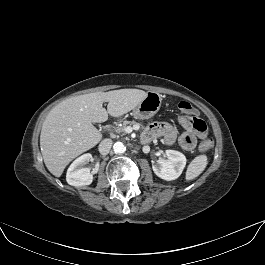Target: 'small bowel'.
<instances>
[{
	"label": "small bowel",
	"mask_w": 265,
	"mask_h": 265,
	"mask_svg": "<svg viewBox=\"0 0 265 265\" xmlns=\"http://www.w3.org/2000/svg\"><path fill=\"white\" fill-rule=\"evenodd\" d=\"M177 121L185 129L180 136L177 135L172 124L158 122L151 124L146 129L143 136L144 141L150 142L162 137L165 144L171 145L177 141L183 149L190 151L196 146L197 138L206 137L207 127L201 119L194 116H179Z\"/></svg>",
	"instance_id": "obj_1"
}]
</instances>
